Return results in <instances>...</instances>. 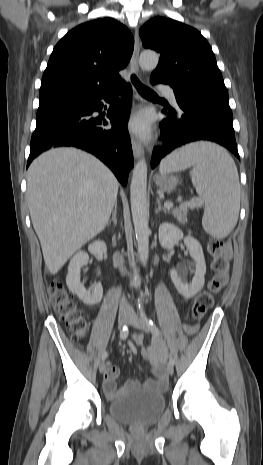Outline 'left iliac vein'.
<instances>
[{"label":"left iliac vein","mask_w":263,"mask_h":465,"mask_svg":"<svg viewBox=\"0 0 263 465\" xmlns=\"http://www.w3.org/2000/svg\"><path fill=\"white\" fill-rule=\"evenodd\" d=\"M128 323L130 325H132L133 327H135V328H138V329H141V330L145 329V324H144L143 320H141L133 310H131L129 312ZM167 373L169 375H172L174 373V367L170 363H168V365H167Z\"/></svg>","instance_id":"obj_1"}]
</instances>
